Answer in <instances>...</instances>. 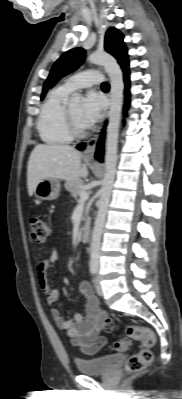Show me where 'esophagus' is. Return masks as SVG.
Here are the masks:
<instances>
[{
    "instance_id": "34e87169",
    "label": "esophagus",
    "mask_w": 182,
    "mask_h": 399,
    "mask_svg": "<svg viewBox=\"0 0 182 399\" xmlns=\"http://www.w3.org/2000/svg\"><path fill=\"white\" fill-rule=\"evenodd\" d=\"M102 128L98 129L95 135L87 141V146L84 151V158L91 159L94 157L97 142L100 138Z\"/></svg>"
}]
</instances>
